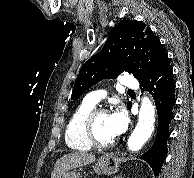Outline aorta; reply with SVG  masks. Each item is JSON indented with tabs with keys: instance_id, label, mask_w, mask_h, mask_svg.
I'll list each match as a JSON object with an SVG mask.
<instances>
[{
	"instance_id": "aorta-1",
	"label": "aorta",
	"mask_w": 194,
	"mask_h": 178,
	"mask_svg": "<svg viewBox=\"0 0 194 178\" xmlns=\"http://www.w3.org/2000/svg\"><path fill=\"white\" fill-rule=\"evenodd\" d=\"M155 110L150 99L143 97L139 112L138 123L130 135L127 146L132 152L139 151L144 143L151 137L154 130Z\"/></svg>"
}]
</instances>
